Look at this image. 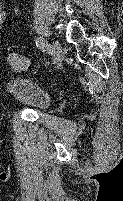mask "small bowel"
I'll list each match as a JSON object with an SVG mask.
<instances>
[{"mask_svg": "<svg viewBox=\"0 0 123 201\" xmlns=\"http://www.w3.org/2000/svg\"><path fill=\"white\" fill-rule=\"evenodd\" d=\"M7 12L0 6V30L3 28L7 21Z\"/></svg>", "mask_w": 123, "mask_h": 201, "instance_id": "1", "label": "small bowel"}]
</instances>
